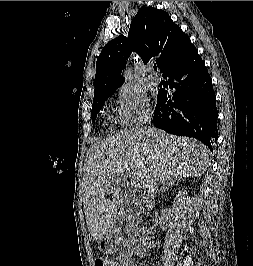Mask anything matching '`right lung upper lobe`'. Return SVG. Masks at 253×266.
I'll return each mask as SVG.
<instances>
[{"label": "right lung upper lobe", "mask_w": 253, "mask_h": 266, "mask_svg": "<svg viewBox=\"0 0 253 266\" xmlns=\"http://www.w3.org/2000/svg\"><path fill=\"white\" fill-rule=\"evenodd\" d=\"M195 46L164 11L143 7L133 18L128 38L123 35L103 48L96 62L94 100L114 92L123 84L122 69L131 52L139 54L146 64L155 59L160 72L176 64Z\"/></svg>", "instance_id": "cb5924a9"}]
</instances>
